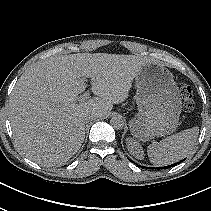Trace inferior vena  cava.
Segmentation results:
<instances>
[{"label": "inferior vena cava", "mask_w": 211, "mask_h": 211, "mask_svg": "<svg viewBox=\"0 0 211 211\" xmlns=\"http://www.w3.org/2000/svg\"><path fill=\"white\" fill-rule=\"evenodd\" d=\"M95 117H96L95 115L89 114V115H86V116L84 117V120H85V122L87 123V122L93 120Z\"/></svg>", "instance_id": "inferior-vena-cava-1"}]
</instances>
